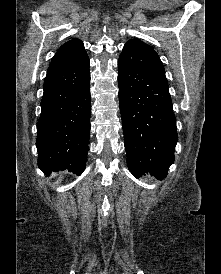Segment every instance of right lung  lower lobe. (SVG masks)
I'll return each instance as SVG.
<instances>
[{
	"label": "right lung lower lobe",
	"instance_id": "obj_1",
	"mask_svg": "<svg viewBox=\"0 0 221 274\" xmlns=\"http://www.w3.org/2000/svg\"><path fill=\"white\" fill-rule=\"evenodd\" d=\"M89 58L49 75L44 82L37 123L38 167L49 175L84 171L90 133Z\"/></svg>",
	"mask_w": 221,
	"mask_h": 274
}]
</instances>
